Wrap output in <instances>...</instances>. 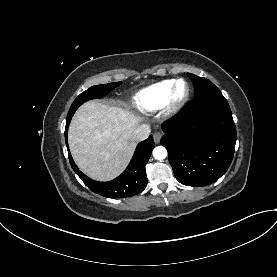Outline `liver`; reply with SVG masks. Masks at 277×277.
I'll use <instances>...</instances> for the list:
<instances>
[{"mask_svg":"<svg viewBox=\"0 0 277 277\" xmlns=\"http://www.w3.org/2000/svg\"><path fill=\"white\" fill-rule=\"evenodd\" d=\"M141 118L119 106L88 101L75 113L68 143L77 166L98 181L117 177L129 163Z\"/></svg>","mask_w":277,"mask_h":277,"instance_id":"1","label":"liver"}]
</instances>
